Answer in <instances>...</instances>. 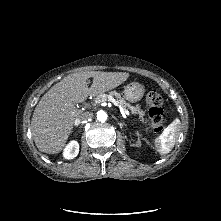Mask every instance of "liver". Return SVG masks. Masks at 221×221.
Listing matches in <instances>:
<instances>
[{"instance_id": "obj_1", "label": "liver", "mask_w": 221, "mask_h": 221, "mask_svg": "<svg viewBox=\"0 0 221 221\" xmlns=\"http://www.w3.org/2000/svg\"><path fill=\"white\" fill-rule=\"evenodd\" d=\"M93 82L88 88L87 80ZM129 78L126 72H77L55 84L37 104L31 132L37 148L44 153L57 154L65 147L75 119L81 114L75 107L90 96L112 90Z\"/></svg>"}]
</instances>
